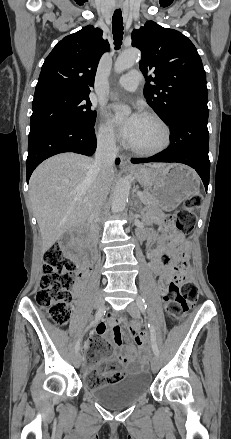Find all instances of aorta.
Listing matches in <instances>:
<instances>
[{
	"label": "aorta",
	"instance_id": "obj_1",
	"mask_svg": "<svg viewBox=\"0 0 231 439\" xmlns=\"http://www.w3.org/2000/svg\"><path fill=\"white\" fill-rule=\"evenodd\" d=\"M140 58V51L136 48H131L121 53L114 63V71L122 73L131 68ZM131 181L128 177L121 178L114 189L111 209L113 212H121L126 207L128 196L130 193Z\"/></svg>",
	"mask_w": 231,
	"mask_h": 439
}]
</instances>
